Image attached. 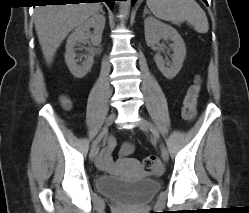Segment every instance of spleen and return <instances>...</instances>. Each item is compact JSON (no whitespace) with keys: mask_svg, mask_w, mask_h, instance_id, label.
Masks as SVG:
<instances>
[{"mask_svg":"<svg viewBox=\"0 0 249 213\" xmlns=\"http://www.w3.org/2000/svg\"><path fill=\"white\" fill-rule=\"evenodd\" d=\"M157 18L165 21H187L199 33L209 29L205 12L195 0H147Z\"/></svg>","mask_w":249,"mask_h":213,"instance_id":"spleen-1","label":"spleen"}]
</instances>
